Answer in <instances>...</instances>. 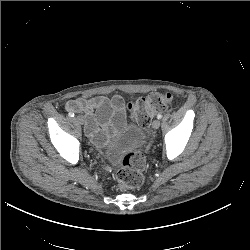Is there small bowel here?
Segmentation results:
<instances>
[{
    "label": "small bowel",
    "mask_w": 250,
    "mask_h": 250,
    "mask_svg": "<svg viewBox=\"0 0 250 250\" xmlns=\"http://www.w3.org/2000/svg\"><path fill=\"white\" fill-rule=\"evenodd\" d=\"M123 107L124 101L120 96L77 97L68 101L65 106L68 112L82 114L85 132L96 144L103 141L112 113H121Z\"/></svg>",
    "instance_id": "small-bowel-1"
}]
</instances>
